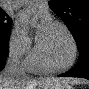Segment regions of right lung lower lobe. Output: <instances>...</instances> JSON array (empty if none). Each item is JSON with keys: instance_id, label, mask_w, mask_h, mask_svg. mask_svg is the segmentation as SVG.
<instances>
[{"instance_id": "obj_1", "label": "right lung lower lobe", "mask_w": 89, "mask_h": 89, "mask_svg": "<svg viewBox=\"0 0 89 89\" xmlns=\"http://www.w3.org/2000/svg\"><path fill=\"white\" fill-rule=\"evenodd\" d=\"M9 36L10 32L7 36L0 40V70L4 68L7 61L9 51Z\"/></svg>"}]
</instances>
